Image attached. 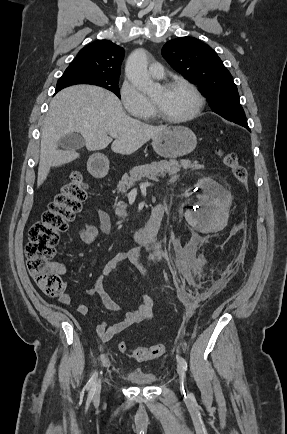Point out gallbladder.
Returning <instances> with one entry per match:
<instances>
[{"instance_id": "obj_1", "label": "gallbladder", "mask_w": 287, "mask_h": 434, "mask_svg": "<svg viewBox=\"0 0 287 434\" xmlns=\"http://www.w3.org/2000/svg\"><path fill=\"white\" fill-rule=\"evenodd\" d=\"M84 145V139L77 133L66 134L58 142L59 147L70 152L79 150L83 148Z\"/></svg>"}]
</instances>
